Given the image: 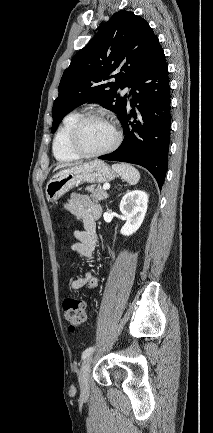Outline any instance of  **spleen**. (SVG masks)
I'll return each instance as SVG.
<instances>
[{"label":"spleen","instance_id":"obj_1","mask_svg":"<svg viewBox=\"0 0 213 433\" xmlns=\"http://www.w3.org/2000/svg\"><path fill=\"white\" fill-rule=\"evenodd\" d=\"M112 169L117 172L122 179L127 181L130 185H135L140 179L139 171L132 165L121 163L113 164Z\"/></svg>","mask_w":213,"mask_h":433}]
</instances>
